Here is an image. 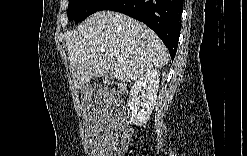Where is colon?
<instances>
[{"instance_id":"obj_1","label":"colon","mask_w":247,"mask_h":156,"mask_svg":"<svg viewBox=\"0 0 247 156\" xmlns=\"http://www.w3.org/2000/svg\"><path fill=\"white\" fill-rule=\"evenodd\" d=\"M111 88L112 90L115 92V93H123L125 91V86L124 84L122 83H119V82H114L112 83L111 85Z\"/></svg>"}]
</instances>
